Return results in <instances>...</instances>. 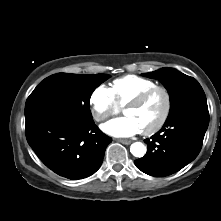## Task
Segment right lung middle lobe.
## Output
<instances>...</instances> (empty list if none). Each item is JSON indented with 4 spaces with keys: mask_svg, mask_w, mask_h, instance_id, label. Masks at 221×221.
Listing matches in <instances>:
<instances>
[{
    "mask_svg": "<svg viewBox=\"0 0 221 221\" xmlns=\"http://www.w3.org/2000/svg\"><path fill=\"white\" fill-rule=\"evenodd\" d=\"M109 76L58 73L45 78L30 94L25 116L44 108L58 109L81 122L93 121L89 103L93 91Z\"/></svg>",
    "mask_w": 221,
    "mask_h": 221,
    "instance_id": "1",
    "label": "right lung middle lobe"
}]
</instances>
